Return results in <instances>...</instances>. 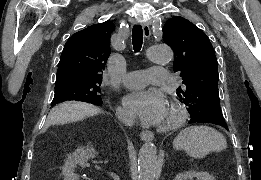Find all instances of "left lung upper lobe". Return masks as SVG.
Segmentation results:
<instances>
[{
	"instance_id": "5c2ea615",
	"label": "left lung upper lobe",
	"mask_w": 261,
	"mask_h": 180,
	"mask_svg": "<svg viewBox=\"0 0 261 180\" xmlns=\"http://www.w3.org/2000/svg\"><path fill=\"white\" fill-rule=\"evenodd\" d=\"M163 40L175 53L173 70L180 71L183 80L177 95L188 106L191 117L223 119L217 59L207 35L187 19L175 16L164 25Z\"/></svg>"
}]
</instances>
